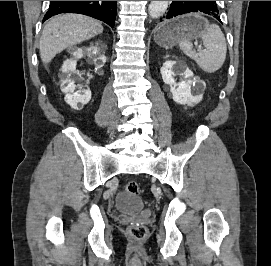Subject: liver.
Here are the masks:
<instances>
[{
	"label": "liver",
	"instance_id": "liver-1",
	"mask_svg": "<svg viewBox=\"0 0 271 266\" xmlns=\"http://www.w3.org/2000/svg\"><path fill=\"white\" fill-rule=\"evenodd\" d=\"M102 32V24L88 16L62 14L53 17L42 31L39 46L41 60L44 64H47L64 49Z\"/></svg>",
	"mask_w": 271,
	"mask_h": 266
}]
</instances>
